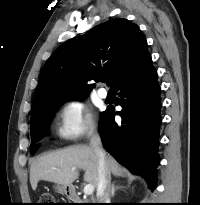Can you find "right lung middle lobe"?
Returning a JSON list of instances; mask_svg holds the SVG:
<instances>
[{
    "label": "right lung middle lobe",
    "instance_id": "obj_1",
    "mask_svg": "<svg viewBox=\"0 0 200 205\" xmlns=\"http://www.w3.org/2000/svg\"><path fill=\"white\" fill-rule=\"evenodd\" d=\"M79 98H65L62 100L67 99H80ZM60 99L50 100L47 101L42 105V107L39 110V113L30 120L31 122V142L32 144L37 143L41 137L47 132L48 125L50 122V119L53 115L54 110L52 109L53 106H55ZM38 149V145L35 147H31V154H34Z\"/></svg>",
    "mask_w": 200,
    "mask_h": 205
}]
</instances>
